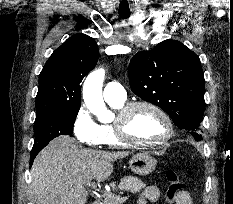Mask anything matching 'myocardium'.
<instances>
[{"label":"myocardium","mask_w":233,"mask_h":204,"mask_svg":"<svg viewBox=\"0 0 233 204\" xmlns=\"http://www.w3.org/2000/svg\"><path fill=\"white\" fill-rule=\"evenodd\" d=\"M138 108H148L158 114L165 122L167 133L164 137L155 141L138 140L128 133V124L131 115ZM114 128L118 139L125 145L152 147L167 143L174 135V126L169 115L157 104L149 101H133L125 104L117 113Z\"/></svg>","instance_id":"1"}]
</instances>
